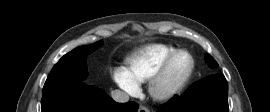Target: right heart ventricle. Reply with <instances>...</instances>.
<instances>
[{"mask_svg":"<svg viewBox=\"0 0 270 112\" xmlns=\"http://www.w3.org/2000/svg\"><path fill=\"white\" fill-rule=\"evenodd\" d=\"M176 48L167 44H149L136 50L125 60L126 71L136 84L147 82L165 57Z\"/></svg>","mask_w":270,"mask_h":112,"instance_id":"obj_1","label":"right heart ventricle"}]
</instances>
